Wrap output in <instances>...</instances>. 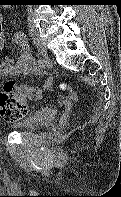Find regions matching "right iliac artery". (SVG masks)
Listing matches in <instances>:
<instances>
[{
  "mask_svg": "<svg viewBox=\"0 0 121 197\" xmlns=\"http://www.w3.org/2000/svg\"><path fill=\"white\" fill-rule=\"evenodd\" d=\"M39 52H40V51L36 50L37 56L39 57V64H40L41 66H44L45 60L40 56V53H39Z\"/></svg>",
  "mask_w": 121,
  "mask_h": 197,
  "instance_id": "1",
  "label": "right iliac artery"
}]
</instances>
